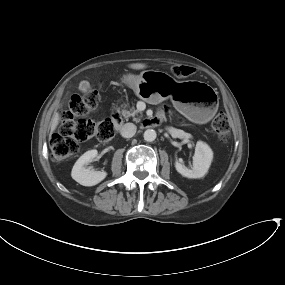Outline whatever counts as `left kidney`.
Returning a JSON list of instances; mask_svg holds the SVG:
<instances>
[{
	"label": "left kidney",
	"mask_w": 285,
	"mask_h": 285,
	"mask_svg": "<svg viewBox=\"0 0 285 285\" xmlns=\"http://www.w3.org/2000/svg\"><path fill=\"white\" fill-rule=\"evenodd\" d=\"M213 160V151L208 144L198 141L193 156V166L191 169L176 161L175 168L178 173L187 178H201L207 172Z\"/></svg>",
	"instance_id": "left-kidney-1"
}]
</instances>
